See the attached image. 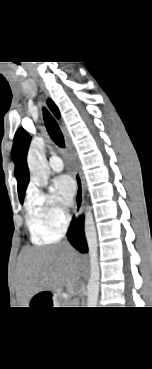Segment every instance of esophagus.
<instances>
[{
    "label": "esophagus",
    "instance_id": "34e87169",
    "mask_svg": "<svg viewBox=\"0 0 152 369\" xmlns=\"http://www.w3.org/2000/svg\"><path fill=\"white\" fill-rule=\"evenodd\" d=\"M66 140V146L68 151L70 152V155L72 157V160L74 162L75 166V172H74V179L76 183V195H75V207H74V213L76 218H78L81 215L83 203H84V189H83V181L82 176L80 172L79 165L77 163L76 155L73 151L71 142L68 138Z\"/></svg>",
    "mask_w": 152,
    "mask_h": 369
}]
</instances>
